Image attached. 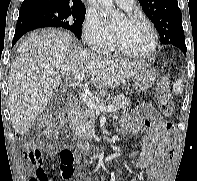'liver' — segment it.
<instances>
[{
	"instance_id": "obj_1",
	"label": "liver",
	"mask_w": 197,
	"mask_h": 181,
	"mask_svg": "<svg viewBox=\"0 0 197 181\" xmlns=\"http://www.w3.org/2000/svg\"><path fill=\"white\" fill-rule=\"evenodd\" d=\"M144 63L97 56L72 44L69 33L47 29L32 33L18 48L9 81L12 127L24 134L45 110L60 75L86 74L97 88L117 87L134 77ZM55 74H49V72Z\"/></svg>"
}]
</instances>
